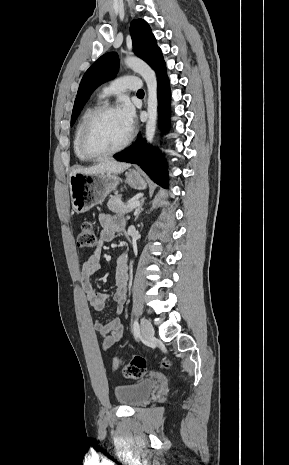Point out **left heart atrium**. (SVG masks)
I'll list each match as a JSON object with an SVG mask.
<instances>
[{
  "label": "left heart atrium",
  "mask_w": 289,
  "mask_h": 465,
  "mask_svg": "<svg viewBox=\"0 0 289 465\" xmlns=\"http://www.w3.org/2000/svg\"><path fill=\"white\" fill-rule=\"evenodd\" d=\"M119 116L122 120L124 128L130 134L135 125V110L133 106L129 102H124L118 109H117Z\"/></svg>",
  "instance_id": "39dd6f15"
}]
</instances>
